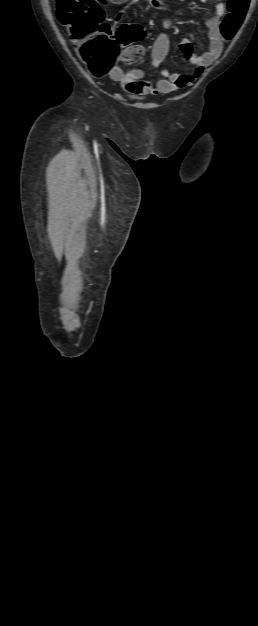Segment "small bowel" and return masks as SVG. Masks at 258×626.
Instances as JSON below:
<instances>
[{
	"label": "small bowel",
	"instance_id": "c3829d8e",
	"mask_svg": "<svg viewBox=\"0 0 258 626\" xmlns=\"http://www.w3.org/2000/svg\"><path fill=\"white\" fill-rule=\"evenodd\" d=\"M206 1V0H201ZM146 4L153 8L164 9V0H130L116 15L115 23L121 22L126 12L133 6ZM226 13V6L223 2H217L215 6V14L207 21L209 28L210 47L209 50L197 54L193 51L190 40L182 38L179 48L185 59L194 65L191 73H180L177 71L163 70L161 72L163 78L158 80L156 84L143 80L144 71L141 69H133L124 72L118 64H113L108 70V76L119 82L122 88L130 94L147 95V94H167L175 92L187 84L195 81L203 72V70L211 65L221 54L223 50V42L220 37L219 24L221 18ZM172 22L167 19L164 21L166 28L171 27ZM110 35L114 31L110 29ZM170 46V40L166 33H161L156 38L152 47V60L150 67L157 68L166 58Z\"/></svg>",
	"mask_w": 258,
	"mask_h": 626
}]
</instances>
